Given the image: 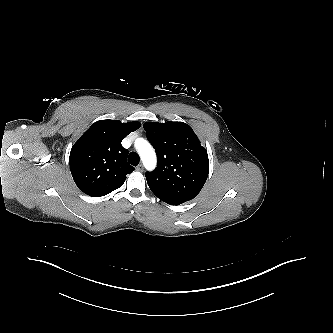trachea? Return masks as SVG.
Here are the masks:
<instances>
[{"label":"trachea","mask_w":333,"mask_h":333,"mask_svg":"<svg viewBox=\"0 0 333 333\" xmlns=\"http://www.w3.org/2000/svg\"><path fill=\"white\" fill-rule=\"evenodd\" d=\"M140 158L137 153L131 152L128 156V162L133 165L137 166L139 164Z\"/></svg>","instance_id":"1"}]
</instances>
